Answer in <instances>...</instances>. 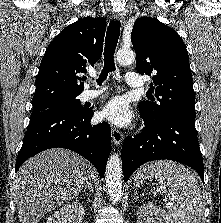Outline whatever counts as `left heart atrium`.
I'll use <instances>...</instances> for the list:
<instances>
[{
	"mask_svg": "<svg viewBox=\"0 0 221 223\" xmlns=\"http://www.w3.org/2000/svg\"><path fill=\"white\" fill-rule=\"evenodd\" d=\"M101 117L117 126H126L132 120V112L127 101L123 97L117 96L104 106Z\"/></svg>",
	"mask_w": 221,
	"mask_h": 223,
	"instance_id": "left-heart-atrium-1",
	"label": "left heart atrium"
}]
</instances>
